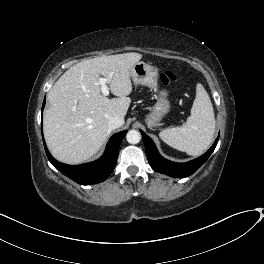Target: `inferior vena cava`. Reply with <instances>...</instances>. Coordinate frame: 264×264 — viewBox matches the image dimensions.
Returning <instances> with one entry per match:
<instances>
[{
	"label": "inferior vena cava",
	"mask_w": 264,
	"mask_h": 264,
	"mask_svg": "<svg viewBox=\"0 0 264 264\" xmlns=\"http://www.w3.org/2000/svg\"><path fill=\"white\" fill-rule=\"evenodd\" d=\"M124 120L118 116L111 117L108 121L109 129L113 130L123 125Z\"/></svg>",
	"instance_id": "inferior-vena-cava-1"
}]
</instances>
